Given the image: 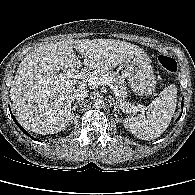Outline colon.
Masks as SVG:
<instances>
[{
	"mask_svg": "<svg viewBox=\"0 0 195 195\" xmlns=\"http://www.w3.org/2000/svg\"><path fill=\"white\" fill-rule=\"evenodd\" d=\"M158 65L168 74H173L177 69L176 60L169 55H160L157 59Z\"/></svg>",
	"mask_w": 195,
	"mask_h": 195,
	"instance_id": "5ec220e1",
	"label": "colon"
}]
</instances>
